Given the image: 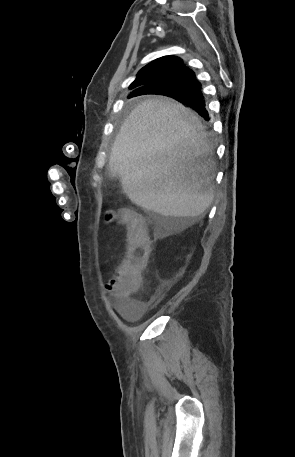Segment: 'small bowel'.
<instances>
[{"label":"small bowel","instance_id":"c3829d8e","mask_svg":"<svg viewBox=\"0 0 295 457\" xmlns=\"http://www.w3.org/2000/svg\"><path fill=\"white\" fill-rule=\"evenodd\" d=\"M113 279V278H112ZM114 291L116 290L117 283L112 282ZM116 295L117 307L122 313V315L127 319H134L143 315L148 309V305L144 302H137L129 297H122L118 294Z\"/></svg>","mask_w":295,"mask_h":457}]
</instances>
